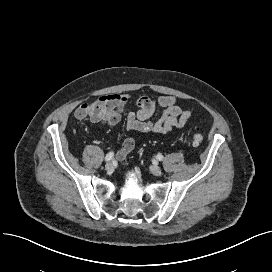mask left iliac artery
Returning a JSON list of instances; mask_svg holds the SVG:
<instances>
[{
    "label": "left iliac artery",
    "mask_w": 272,
    "mask_h": 272,
    "mask_svg": "<svg viewBox=\"0 0 272 272\" xmlns=\"http://www.w3.org/2000/svg\"><path fill=\"white\" fill-rule=\"evenodd\" d=\"M156 158H157L159 161H162V160H163V156H162L161 154H158V155L156 156Z\"/></svg>",
    "instance_id": "44dca946"
}]
</instances>
